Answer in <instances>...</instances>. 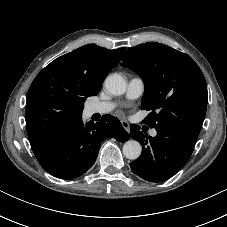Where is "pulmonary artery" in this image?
<instances>
[{"label": "pulmonary artery", "instance_id": "obj_1", "mask_svg": "<svg viewBox=\"0 0 227 227\" xmlns=\"http://www.w3.org/2000/svg\"><path fill=\"white\" fill-rule=\"evenodd\" d=\"M144 90L145 83L143 79L140 77H133L128 83L126 98L129 100L137 99L144 93ZM116 106L117 104L112 101L97 102L91 105L90 111L93 114H107L113 111ZM150 135L155 137L157 135V131L155 129L151 130Z\"/></svg>", "mask_w": 227, "mask_h": 227}]
</instances>
